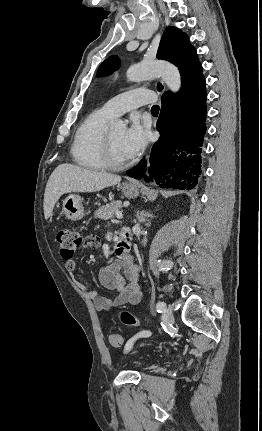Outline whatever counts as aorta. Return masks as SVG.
<instances>
[{
  "label": "aorta",
  "mask_w": 262,
  "mask_h": 431,
  "mask_svg": "<svg viewBox=\"0 0 262 431\" xmlns=\"http://www.w3.org/2000/svg\"><path fill=\"white\" fill-rule=\"evenodd\" d=\"M127 79L139 82L152 77H160L170 91L176 93L181 88V76L178 68L168 62H142L130 66L126 73ZM111 127L115 131L124 130L126 125L122 120L112 121Z\"/></svg>",
  "instance_id": "1"
}]
</instances>
